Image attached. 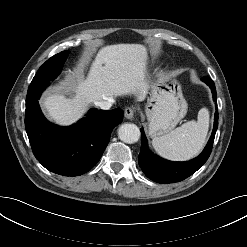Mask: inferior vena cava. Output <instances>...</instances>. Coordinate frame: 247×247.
<instances>
[{
	"mask_svg": "<svg viewBox=\"0 0 247 247\" xmlns=\"http://www.w3.org/2000/svg\"><path fill=\"white\" fill-rule=\"evenodd\" d=\"M113 102H114L113 99H109L106 101L96 102V105L99 106L101 109L108 110L111 108Z\"/></svg>",
	"mask_w": 247,
	"mask_h": 247,
	"instance_id": "1",
	"label": "inferior vena cava"
}]
</instances>
